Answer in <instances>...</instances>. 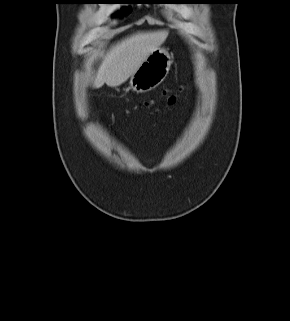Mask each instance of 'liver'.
Instances as JSON below:
<instances>
[{
  "mask_svg": "<svg viewBox=\"0 0 290 321\" xmlns=\"http://www.w3.org/2000/svg\"><path fill=\"white\" fill-rule=\"evenodd\" d=\"M168 31L138 32L112 45L103 56L93 87H117L137 71L143 61L166 40Z\"/></svg>",
  "mask_w": 290,
  "mask_h": 321,
  "instance_id": "6515ba94",
  "label": "liver"
}]
</instances>
